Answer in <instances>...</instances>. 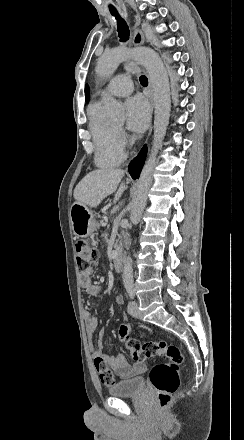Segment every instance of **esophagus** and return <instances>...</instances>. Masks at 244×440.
<instances>
[{
	"mask_svg": "<svg viewBox=\"0 0 244 440\" xmlns=\"http://www.w3.org/2000/svg\"><path fill=\"white\" fill-rule=\"evenodd\" d=\"M144 40H145V38H144L142 31L138 28H135L134 33H133V39H132L133 45L135 47H139L140 45H143ZM149 89H150V94L148 95V98L150 100V115H152L153 108H154V100H153V94L151 92V84H149ZM151 131H152V125L150 126L148 136L151 135Z\"/></svg>",
	"mask_w": 244,
	"mask_h": 440,
	"instance_id": "34e87169",
	"label": "esophagus"
}]
</instances>
